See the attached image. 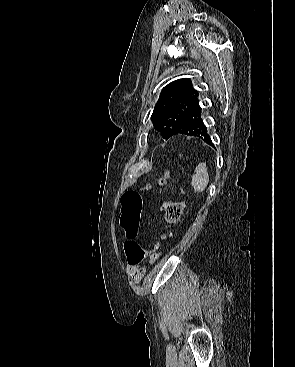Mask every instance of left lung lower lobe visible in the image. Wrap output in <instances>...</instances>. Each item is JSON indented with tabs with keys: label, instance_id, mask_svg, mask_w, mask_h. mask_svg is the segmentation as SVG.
Returning a JSON list of instances; mask_svg holds the SVG:
<instances>
[{
	"label": "left lung lower lobe",
	"instance_id": "obj_1",
	"mask_svg": "<svg viewBox=\"0 0 295 367\" xmlns=\"http://www.w3.org/2000/svg\"><path fill=\"white\" fill-rule=\"evenodd\" d=\"M201 111L202 109L198 101L196 105L186 114L180 124L174 129L172 136L179 134L195 136L201 138L204 140V142L213 146L207 128L201 118Z\"/></svg>",
	"mask_w": 295,
	"mask_h": 367
}]
</instances>
